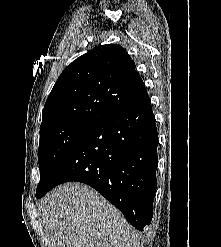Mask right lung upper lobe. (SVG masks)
Here are the masks:
<instances>
[{"label":"right lung upper lobe","mask_w":221,"mask_h":247,"mask_svg":"<svg viewBox=\"0 0 221 247\" xmlns=\"http://www.w3.org/2000/svg\"><path fill=\"white\" fill-rule=\"evenodd\" d=\"M135 63L120 45L98 46L65 68L42 112L40 131L69 123L97 125L147 96Z\"/></svg>","instance_id":"right-lung-upper-lobe-1"}]
</instances>
